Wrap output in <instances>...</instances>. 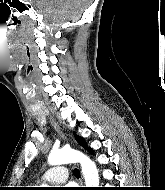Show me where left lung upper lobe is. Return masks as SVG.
<instances>
[{"label": "left lung upper lobe", "mask_w": 165, "mask_h": 190, "mask_svg": "<svg viewBox=\"0 0 165 190\" xmlns=\"http://www.w3.org/2000/svg\"><path fill=\"white\" fill-rule=\"evenodd\" d=\"M76 140L80 143V145H82L85 149H87L88 151H90L92 153V149H89L88 146L86 145V143L81 139V137L75 135Z\"/></svg>", "instance_id": "1"}]
</instances>
